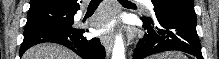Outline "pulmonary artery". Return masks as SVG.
Listing matches in <instances>:
<instances>
[{
  "label": "pulmonary artery",
  "instance_id": "obj_1",
  "mask_svg": "<svg viewBox=\"0 0 219 59\" xmlns=\"http://www.w3.org/2000/svg\"><path fill=\"white\" fill-rule=\"evenodd\" d=\"M139 2L143 3V4H144L145 6H147L148 8H152V7H153L151 1H139Z\"/></svg>",
  "mask_w": 219,
  "mask_h": 59
}]
</instances>
